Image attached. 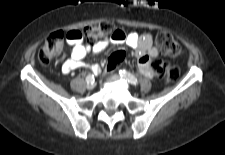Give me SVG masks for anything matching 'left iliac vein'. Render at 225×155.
<instances>
[{
    "label": "left iliac vein",
    "mask_w": 225,
    "mask_h": 155,
    "mask_svg": "<svg viewBox=\"0 0 225 155\" xmlns=\"http://www.w3.org/2000/svg\"><path fill=\"white\" fill-rule=\"evenodd\" d=\"M121 78L118 76V75H111L110 76V80H113V81H118L120 80Z\"/></svg>",
    "instance_id": "4c4485c4"
}]
</instances>
